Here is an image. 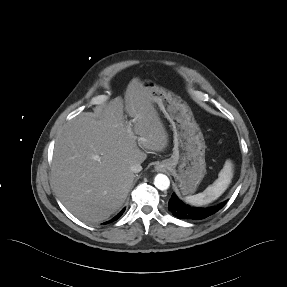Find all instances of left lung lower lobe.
Wrapping results in <instances>:
<instances>
[{
	"instance_id": "0a47b994",
	"label": "left lung lower lobe",
	"mask_w": 287,
	"mask_h": 287,
	"mask_svg": "<svg viewBox=\"0 0 287 287\" xmlns=\"http://www.w3.org/2000/svg\"><path fill=\"white\" fill-rule=\"evenodd\" d=\"M225 202L209 208H195L185 205L178 197L173 193L169 200V210L174 216L180 219H204L217 211H219L224 205Z\"/></svg>"
}]
</instances>
